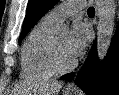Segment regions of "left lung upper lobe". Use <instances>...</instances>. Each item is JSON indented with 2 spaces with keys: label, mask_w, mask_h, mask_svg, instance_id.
<instances>
[{
  "label": "left lung upper lobe",
  "mask_w": 119,
  "mask_h": 95,
  "mask_svg": "<svg viewBox=\"0 0 119 95\" xmlns=\"http://www.w3.org/2000/svg\"><path fill=\"white\" fill-rule=\"evenodd\" d=\"M58 0H29L23 29L19 37V43L24 39L30 29L47 13Z\"/></svg>",
  "instance_id": "left-lung-upper-lobe-1"
}]
</instances>
